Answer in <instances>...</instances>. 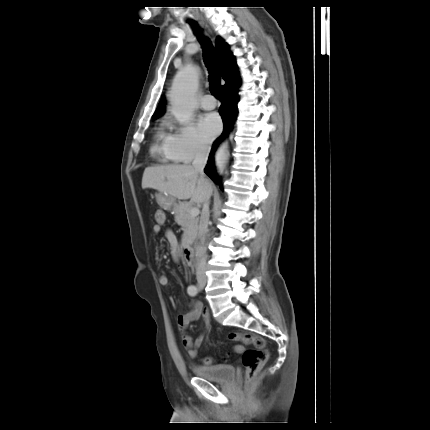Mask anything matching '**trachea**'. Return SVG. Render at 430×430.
I'll list each match as a JSON object with an SVG mask.
<instances>
[{
  "mask_svg": "<svg viewBox=\"0 0 430 430\" xmlns=\"http://www.w3.org/2000/svg\"><path fill=\"white\" fill-rule=\"evenodd\" d=\"M195 33L197 34L198 31H195ZM200 41L204 50V61L210 71V76H209L210 90L216 98H222L220 69L216 62V58H215L212 46L205 39H202Z\"/></svg>",
  "mask_w": 430,
  "mask_h": 430,
  "instance_id": "trachea-1",
  "label": "trachea"
}]
</instances>
